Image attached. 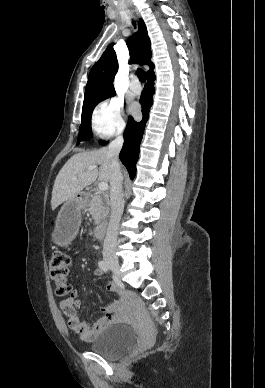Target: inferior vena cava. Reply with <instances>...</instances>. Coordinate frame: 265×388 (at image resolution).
I'll return each instance as SVG.
<instances>
[{"label":"inferior vena cava","instance_id":"602c4592","mask_svg":"<svg viewBox=\"0 0 265 388\" xmlns=\"http://www.w3.org/2000/svg\"><path fill=\"white\" fill-rule=\"evenodd\" d=\"M123 144V136H117L116 140H113L108 146L107 158H109L111 164V216L104 240L103 258L115 256L118 226L124 210V200L122 198L123 174L119 164V154Z\"/></svg>","mask_w":265,"mask_h":388}]
</instances>
